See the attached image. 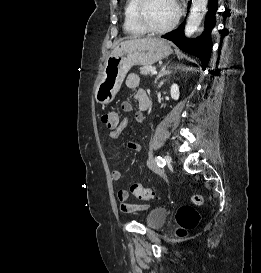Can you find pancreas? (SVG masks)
Listing matches in <instances>:
<instances>
[{"label": "pancreas", "instance_id": "1", "mask_svg": "<svg viewBox=\"0 0 261 273\" xmlns=\"http://www.w3.org/2000/svg\"><path fill=\"white\" fill-rule=\"evenodd\" d=\"M152 70H155L154 66L147 65L140 68V73L144 76L151 74Z\"/></svg>", "mask_w": 261, "mask_h": 273}]
</instances>
